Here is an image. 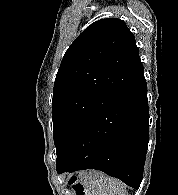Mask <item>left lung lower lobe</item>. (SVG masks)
<instances>
[{
  "label": "left lung lower lobe",
  "instance_id": "0a47b994",
  "mask_svg": "<svg viewBox=\"0 0 178 195\" xmlns=\"http://www.w3.org/2000/svg\"><path fill=\"white\" fill-rule=\"evenodd\" d=\"M143 67L85 123L57 159V172L97 169L138 189L149 141Z\"/></svg>",
  "mask_w": 178,
  "mask_h": 195
}]
</instances>
